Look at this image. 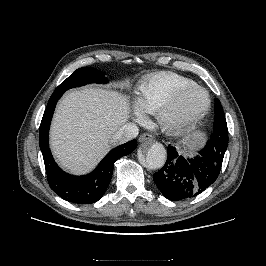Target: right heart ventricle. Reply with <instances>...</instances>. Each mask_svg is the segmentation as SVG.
Returning a JSON list of instances; mask_svg holds the SVG:
<instances>
[{
  "label": "right heart ventricle",
  "instance_id": "obj_1",
  "mask_svg": "<svg viewBox=\"0 0 266 266\" xmlns=\"http://www.w3.org/2000/svg\"><path fill=\"white\" fill-rule=\"evenodd\" d=\"M186 77L172 72H158L146 77L138 87L136 105L147 114H157L165 101L181 87L194 84Z\"/></svg>",
  "mask_w": 266,
  "mask_h": 266
}]
</instances>
